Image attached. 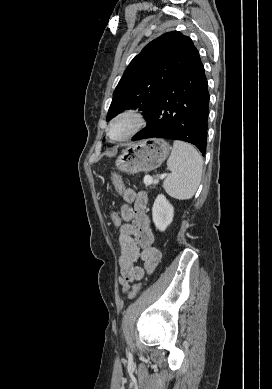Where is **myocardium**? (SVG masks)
Wrapping results in <instances>:
<instances>
[{
  "instance_id": "obj_1",
  "label": "myocardium",
  "mask_w": 272,
  "mask_h": 389,
  "mask_svg": "<svg viewBox=\"0 0 272 389\" xmlns=\"http://www.w3.org/2000/svg\"><path fill=\"white\" fill-rule=\"evenodd\" d=\"M120 122L128 124L127 131L119 136H112V129ZM146 125V120L143 113L135 108H128L118 112L109 122L106 128L107 137L113 142L126 141L138 134Z\"/></svg>"
}]
</instances>
